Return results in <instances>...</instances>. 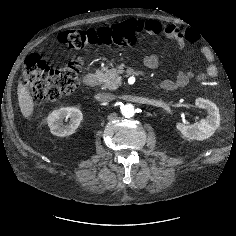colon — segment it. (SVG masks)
<instances>
[{
	"instance_id": "colon-1",
	"label": "colon",
	"mask_w": 236,
	"mask_h": 236,
	"mask_svg": "<svg viewBox=\"0 0 236 236\" xmlns=\"http://www.w3.org/2000/svg\"><path fill=\"white\" fill-rule=\"evenodd\" d=\"M143 23L139 20H126L107 27L61 32L58 39L74 50L97 45L132 46L136 43ZM83 61L77 58L66 67H49L38 54H30L21 73L23 83L33 94L45 100H56L72 93L79 84Z\"/></svg>"
}]
</instances>
